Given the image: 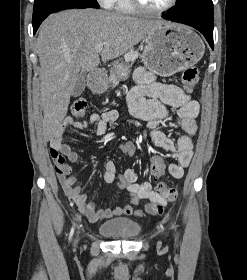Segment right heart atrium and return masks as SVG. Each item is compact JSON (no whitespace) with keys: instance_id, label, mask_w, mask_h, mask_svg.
<instances>
[{"instance_id":"1","label":"right heart atrium","mask_w":247,"mask_h":280,"mask_svg":"<svg viewBox=\"0 0 247 280\" xmlns=\"http://www.w3.org/2000/svg\"><path fill=\"white\" fill-rule=\"evenodd\" d=\"M98 3L104 7H111L114 5L115 0H97Z\"/></svg>"}]
</instances>
